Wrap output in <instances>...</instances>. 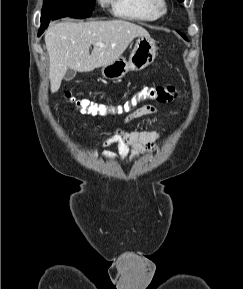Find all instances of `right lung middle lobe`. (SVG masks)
<instances>
[{"label":"right lung middle lobe","mask_w":243,"mask_h":289,"mask_svg":"<svg viewBox=\"0 0 243 289\" xmlns=\"http://www.w3.org/2000/svg\"><path fill=\"white\" fill-rule=\"evenodd\" d=\"M94 4L95 0H44L41 18H87L91 15Z\"/></svg>","instance_id":"1"}]
</instances>
